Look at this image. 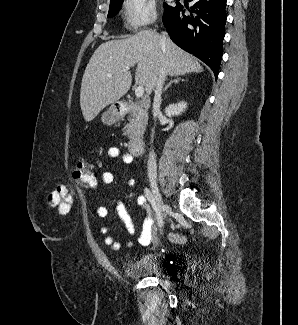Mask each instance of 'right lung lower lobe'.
I'll return each instance as SVG.
<instances>
[{
	"mask_svg": "<svg viewBox=\"0 0 298 325\" xmlns=\"http://www.w3.org/2000/svg\"><path fill=\"white\" fill-rule=\"evenodd\" d=\"M193 1V0H189ZM227 0H197L185 15L181 5L165 10L163 23L179 47L206 63L217 77L225 36Z\"/></svg>",
	"mask_w": 298,
	"mask_h": 325,
	"instance_id": "1",
	"label": "right lung lower lobe"
}]
</instances>
